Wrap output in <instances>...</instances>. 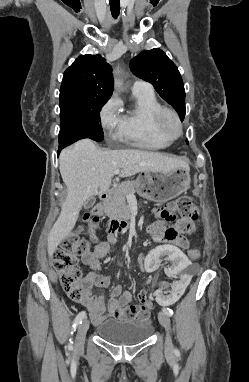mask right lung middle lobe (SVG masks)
Instances as JSON below:
<instances>
[{
	"instance_id": "obj_1",
	"label": "right lung middle lobe",
	"mask_w": 249,
	"mask_h": 382,
	"mask_svg": "<svg viewBox=\"0 0 249 382\" xmlns=\"http://www.w3.org/2000/svg\"><path fill=\"white\" fill-rule=\"evenodd\" d=\"M107 100L96 99L60 108L59 147H66L84 138L102 141L100 110Z\"/></svg>"
}]
</instances>
